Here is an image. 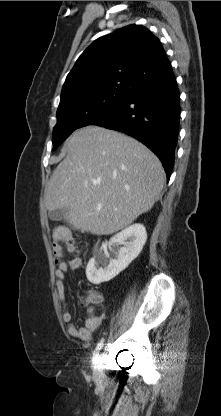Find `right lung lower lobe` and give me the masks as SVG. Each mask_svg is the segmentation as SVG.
<instances>
[{"mask_svg":"<svg viewBox=\"0 0 221 416\" xmlns=\"http://www.w3.org/2000/svg\"><path fill=\"white\" fill-rule=\"evenodd\" d=\"M179 119L180 94L170 67L165 79L131 91L112 114L92 125L124 132L141 141L159 157L169 180Z\"/></svg>","mask_w":221,"mask_h":416,"instance_id":"obj_1","label":"right lung lower lobe"}]
</instances>
